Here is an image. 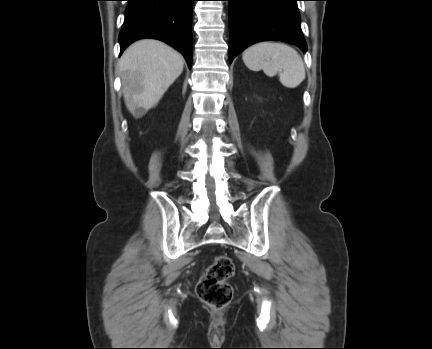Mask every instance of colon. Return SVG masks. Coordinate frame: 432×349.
<instances>
[{
    "label": "colon",
    "instance_id": "1",
    "mask_svg": "<svg viewBox=\"0 0 432 349\" xmlns=\"http://www.w3.org/2000/svg\"><path fill=\"white\" fill-rule=\"evenodd\" d=\"M235 266L231 258L218 255L196 287L198 297L209 306L221 309L232 300L233 288L228 279L233 276Z\"/></svg>",
    "mask_w": 432,
    "mask_h": 349
}]
</instances>
